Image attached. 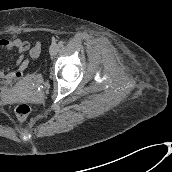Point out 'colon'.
Masks as SVG:
<instances>
[{
  "instance_id": "obj_1",
  "label": "colon",
  "mask_w": 172,
  "mask_h": 172,
  "mask_svg": "<svg viewBox=\"0 0 172 172\" xmlns=\"http://www.w3.org/2000/svg\"><path fill=\"white\" fill-rule=\"evenodd\" d=\"M31 107L26 103H20L15 107V114L21 120L26 119L31 113Z\"/></svg>"
}]
</instances>
